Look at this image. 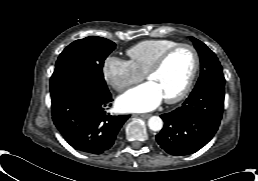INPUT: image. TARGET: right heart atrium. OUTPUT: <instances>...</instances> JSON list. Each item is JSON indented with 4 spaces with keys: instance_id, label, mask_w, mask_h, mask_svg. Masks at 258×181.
Segmentation results:
<instances>
[{
    "instance_id": "right-heart-atrium-1",
    "label": "right heart atrium",
    "mask_w": 258,
    "mask_h": 181,
    "mask_svg": "<svg viewBox=\"0 0 258 181\" xmlns=\"http://www.w3.org/2000/svg\"><path fill=\"white\" fill-rule=\"evenodd\" d=\"M102 73L105 81L117 91H124L144 78L129 61L115 56L105 59Z\"/></svg>"
}]
</instances>
